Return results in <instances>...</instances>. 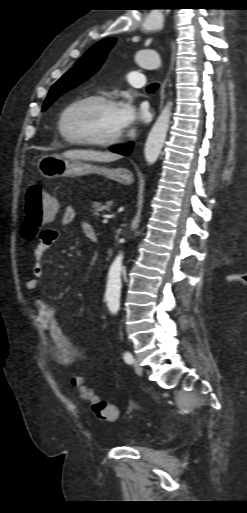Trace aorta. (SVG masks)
<instances>
[{
	"label": "aorta",
	"instance_id": "762f6f07",
	"mask_svg": "<svg viewBox=\"0 0 247 513\" xmlns=\"http://www.w3.org/2000/svg\"><path fill=\"white\" fill-rule=\"evenodd\" d=\"M135 62L139 66L149 70H155L161 66L160 57L158 53L153 50L138 52L135 56ZM171 107V102L165 105L148 134L144 148V156L149 165L157 161L163 148L169 129ZM122 261L123 254L121 253L112 263L108 276L107 292L109 307L113 312H117L120 307Z\"/></svg>",
	"mask_w": 247,
	"mask_h": 513
}]
</instances>
